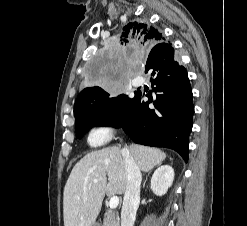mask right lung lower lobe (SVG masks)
Returning a JSON list of instances; mask_svg holds the SVG:
<instances>
[{"label": "right lung lower lobe", "instance_id": "1", "mask_svg": "<svg viewBox=\"0 0 247 226\" xmlns=\"http://www.w3.org/2000/svg\"><path fill=\"white\" fill-rule=\"evenodd\" d=\"M148 70L152 71L154 98L150 91L144 102L142 93L135 91L134 98H128L99 126L123 127L135 143L171 148L187 162L194 113L187 71L174 59V49L166 42L151 48L145 72Z\"/></svg>", "mask_w": 247, "mask_h": 226}]
</instances>
